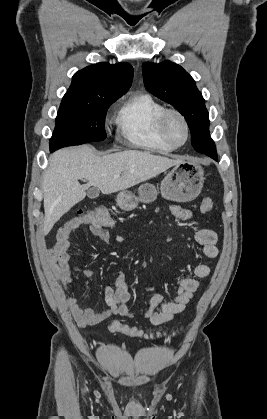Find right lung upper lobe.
Wrapping results in <instances>:
<instances>
[{
    "label": "right lung upper lobe",
    "instance_id": "right-lung-upper-lobe-1",
    "mask_svg": "<svg viewBox=\"0 0 267 419\" xmlns=\"http://www.w3.org/2000/svg\"><path fill=\"white\" fill-rule=\"evenodd\" d=\"M132 79L133 68L128 63L93 64L74 74L71 86L63 98L90 99L122 96L130 88Z\"/></svg>",
    "mask_w": 267,
    "mask_h": 419
}]
</instances>
